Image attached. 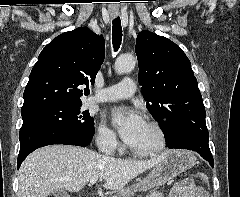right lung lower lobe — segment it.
<instances>
[{
	"label": "right lung lower lobe",
	"mask_w": 240,
	"mask_h": 197,
	"mask_svg": "<svg viewBox=\"0 0 240 197\" xmlns=\"http://www.w3.org/2000/svg\"><path fill=\"white\" fill-rule=\"evenodd\" d=\"M92 140L76 134L72 129L47 120L25 119L19 132V168L28 154L39 147L52 144L87 146Z\"/></svg>",
	"instance_id": "98d812e1"
}]
</instances>
